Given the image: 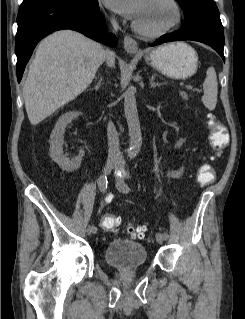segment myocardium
<instances>
[{
  "mask_svg": "<svg viewBox=\"0 0 245 319\" xmlns=\"http://www.w3.org/2000/svg\"><path fill=\"white\" fill-rule=\"evenodd\" d=\"M166 1L170 4V6L172 7L174 11V18L170 23L160 28L149 29V28H145L141 26L138 22L134 21L132 23L133 29L139 34L146 37H159L174 30L181 23L182 9L177 0H166Z\"/></svg>",
  "mask_w": 245,
  "mask_h": 319,
  "instance_id": "f54148a6",
  "label": "myocardium"
}]
</instances>
